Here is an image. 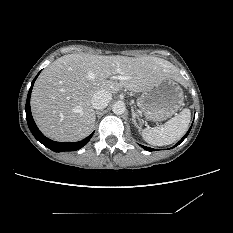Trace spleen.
I'll list each match as a JSON object with an SVG mask.
<instances>
[{"label": "spleen", "instance_id": "1", "mask_svg": "<svg viewBox=\"0 0 233 233\" xmlns=\"http://www.w3.org/2000/svg\"><path fill=\"white\" fill-rule=\"evenodd\" d=\"M190 118L191 112L185 108L164 125L142 130V136L147 143L153 146L170 145L186 133Z\"/></svg>", "mask_w": 233, "mask_h": 233}]
</instances>
